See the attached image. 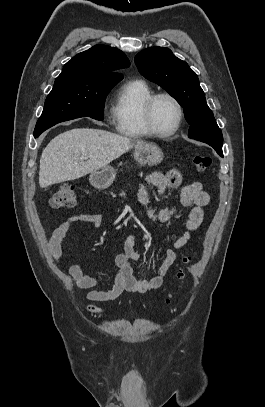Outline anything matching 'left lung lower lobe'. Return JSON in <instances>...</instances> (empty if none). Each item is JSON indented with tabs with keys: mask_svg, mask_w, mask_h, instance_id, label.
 <instances>
[{
	"mask_svg": "<svg viewBox=\"0 0 265 407\" xmlns=\"http://www.w3.org/2000/svg\"><path fill=\"white\" fill-rule=\"evenodd\" d=\"M212 147L216 150V152H217L220 156L223 157V152L220 151V149H218L216 146H212Z\"/></svg>",
	"mask_w": 265,
	"mask_h": 407,
	"instance_id": "left-lung-lower-lobe-1",
	"label": "left lung lower lobe"
}]
</instances>
